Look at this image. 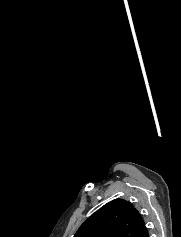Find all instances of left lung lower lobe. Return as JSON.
Here are the masks:
<instances>
[{"label":"left lung lower lobe","mask_w":181,"mask_h":237,"mask_svg":"<svg viewBox=\"0 0 181 237\" xmlns=\"http://www.w3.org/2000/svg\"><path fill=\"white\" fill-rule=\"evenodd\" d=\"M141 237H149V234H148V231H147V229H146V231L142 234V236Z\"/></svg>","instance_id":"0a47b994"}]
</instances>
